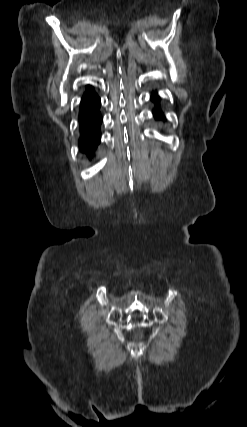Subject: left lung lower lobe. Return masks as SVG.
Returning a JSON list of instances; mask_svg holds the SVG:
<instances>
[{
    "label": "left lung lower lobe",
    "mask_w": 247,
    "mask_h": 427,
    "mask_svg": "<svg viewBox=\"0 0 247 427\" xmlns=\"http://www.w3.org/2000/svg\"><path fill=\"white\" fill-rule=\"evenodd\" d=\"M151 100L152 101L159 100L157 92H155L154 94L151 95ZM153 114H154L155 119H157V120L163 118V114L159 108H157L156 110L154 109Z\"/></svg>",
    "instance_id": "1"
}]
</instances>
